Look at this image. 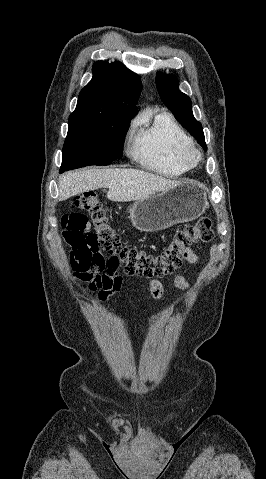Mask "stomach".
Returning a JSON list of instances; mask_svg holds the SVG:
<instances>
[{
  "instance_id": "1",
  "label": "stomach",
  "mask_w": 266,
  "mask_h": 479,
  "mask_svg": "<svg viewBox=\"0 0 266 479\" xmlns=\"http://www.w3.org/2000/svg\"><path fill=\"white\" fill-rule=\"evenodd\" d=\"M208 205L206 190L194 181L135 201L128 209L130 220L142 232H156L189 222L203 214Z\"/></svg>"
}]
</instances>
